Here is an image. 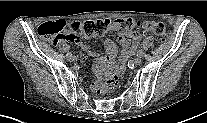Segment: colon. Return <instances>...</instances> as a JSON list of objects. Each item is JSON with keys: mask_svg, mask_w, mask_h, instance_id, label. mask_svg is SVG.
<instances>
[{"mask_svg": "<svg viewBox=\"0 0 207 123\" xmlns=\"http://www.w3.org/2000/svg\"><path fill=\"white\" fill-rule=\"evenodd\" d=\"M118 27L121 31L127 32L134 27L146 33H153L161 39H165L168 35L166 27L160 22L144 21L136 23L131 18L117 19L110 21L108 19L86 20L84 22H74L70 25V32L66 36L69 40H77L83 37H95L105 34L110 31L112 26ZM64 22L61 20L45 22L38 26L37 33L39 36L52 39L53 43H57L63 36L62 30ZM117 85V79L114 77L106 79L101 85L97 86L95 92L98 96H104L109 91L113 90Z\"/></svg>", "mask_w": 207, "mask_h": 123, "instance_id": "1", "label": "colon"}]
</instances>
